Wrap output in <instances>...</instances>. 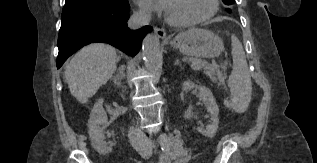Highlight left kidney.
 Listing matches in <instances>:
<instances>
[{
    "mask_svg": "<svg viewBox=\"0 0 317 163\" xmlns=\"http://www.w3.org/2000/svg\"><path fill=\"white\" fill-rule=\"evenodd\" d=\"M183 90L185 92L191 91L194 88L199 91V97L205 104L207 111L210 113L211 116V122L205 127H197L196 129L200 134H202L205 137L212 138L218 129L219 124V108L218 105L213 97V94L209 88L206 86H198L194 84L192 81H185L182 86Z\"/></svg>",
    "mask_w": 317,
    "mask_h": 163,
    "instance_id": "obj_1",
    "label": "left kidney"
}]
</instances>
